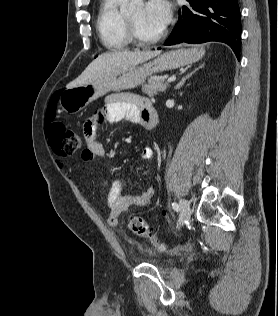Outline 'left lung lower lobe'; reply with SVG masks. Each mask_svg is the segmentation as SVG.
<instances>
[{"label":"left lung lower lobe","mask_w":278,"mask_h":316,"mask_svg":"<svg viewBox=\"0 0 278 316\" xmlns=\"http://www.w3.org/2000/svg\"><path fill=\"white\" fill-rule=\"evenodd\" d=\"M187 1L190 6L179 10L178 24L164 44L220 41L228 44L239 60L241 13L238 0Z\"/></svg>","instance_id":"obj_1"}]
</instances>
